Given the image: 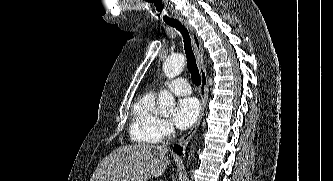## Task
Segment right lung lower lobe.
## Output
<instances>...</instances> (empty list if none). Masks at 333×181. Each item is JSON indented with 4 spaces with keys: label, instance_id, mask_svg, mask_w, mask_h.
Listing matches in <instances>:
<instances>
[{
    "label": "right lung lower lobe",
    "instance_id": "right-lung-lower-lobe-1",
    "mask_svg": "<svg viewBox=\"0 0 333 181\" xmlns=\"http://www.w3.org/2000/svg\"><path fill=\"white\" fill-rule=\"evenodd\" d=\"M174 151H175L176 153H178L179 155L182 154V148L179 147L178 145H175V146H174Z\"/></svg>",
    "mask_w": 333,
    "mask_h": 181
}]
</instances>
